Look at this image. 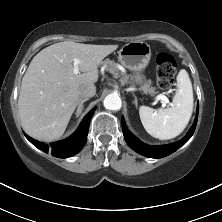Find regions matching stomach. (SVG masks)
Returning <instances> with one entry per match:
<instances>
[{
	"mask_svg": "<svg viewBox=\"0 0 222 222\" xmlns=\"http://www.w3.org/2000/svg\"><path fill=\"white\" fill-rule=\"evenodd\" d=\"M119 61L127 69L134 72L132 80L136 83L143 81L142 71L147 67L151 58V47L144 41L125 44L119 51Z\"/></svg>",
	"mask_w": 222,
	"mask_h": 222,
	"instance_id": "obj_1",
	"label": "stomach"
}]
</instances>
